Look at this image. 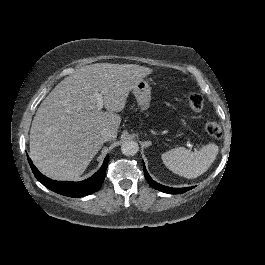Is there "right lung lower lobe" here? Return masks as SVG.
I'll return each instance as SVG.
<instances>
[{
    "label": "right lung lower lobe",
    "mask_w": 265,
    "mask_h": 265,
    "mask_svg": "<svg viewBox=\"0 0 265 265\" xmlns=\"http://www.w3.org/2000/svg\"><path fill=\"white\" fill-rule=\"evenodd\" d=\"M109 156L103 162L102 167L90 178L81 182H63L55 181L42 175L33 165L30 158L28 162L31 166L32 172L39 182H41L48 189L68 197H83L96 192L103 184L106 169L108 166Z\"/></svg>",
    "instance_id": "1"
}]
</instances>
